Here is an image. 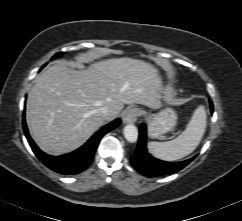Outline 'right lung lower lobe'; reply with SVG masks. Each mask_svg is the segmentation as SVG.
I'll list each match as a JSON object with an SVG mask.
<instances>
[{
	"instance_id": "98d812e1",
	"label": "right lung lower lobe",
	"mask_w": 242,
	"mask_h": 221,
	"mask_svg": "<svg viewBox=\"0 0 242 221\" xmlns=\"http://www.w3.org/2000/svg\"><path fill=\"white\" fill-rule=\"evenodd\" d=\"M121 123L120 119H116L115 121L109 123L100 131L95 133L82 147L71 152L69 154H65L62 156L54 157L49 156L42 152L36 144L33 142L31 137L29 136L25 119L23 118V129L25 132V136L35 153V155L39 158V160L45 164L48 168L53 171L63 174V175H74L85 170L89 164L91 163L96 148L99 144L100 139L108 133L110 130L119 126Z\"/></svg>"
}]
</instances>
